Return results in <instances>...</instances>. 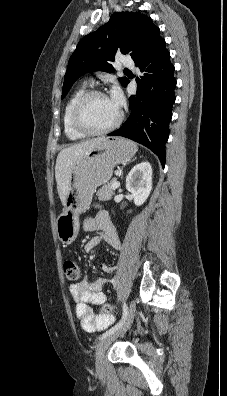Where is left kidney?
<instances>
[{
    "instance_id": "obj_1",
    "label": "left kidney",
    "mask_w": 227,
    "mask_h": 396,
    "mask_svg": "<svg viewBox=\"0 0 227 396\" xmlns=\"http://www.w3.org/2000/svg\"><path fill=\"white\" fill-rule=\"evenodd\" d=\"M126 189L132 193L134 204L141 206L152 190V167L149 162L135 165L126 177Z\"/></svg>"
}]
</instances>
